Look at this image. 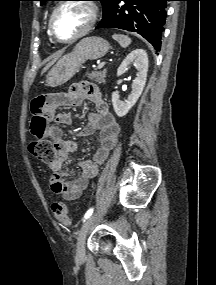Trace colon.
Segmentation results:
<instances>
[{
	"instance_id": "obj_1",
	"label": "colon",
	"mask_w": 216,
	"mask_h": 285,
	"mask_svg": "<svg viewBox=\"0 0 216 285\" xmlns=\"http://www.w3.org/2000/svg\"><path fill=\"white\" fill-rule=\"evenodd\" d=\"M41 136H37L29 144V150L34 157L44 163H50L55 158V148L53 144H48V141H41ZM52 212L55 218L63 225L69 226L71 219L67 205L63 201H55L52 206Z\"/></svg>"
}]
</instances>
